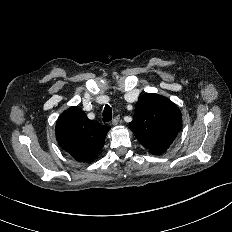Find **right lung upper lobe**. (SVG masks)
I'll return each mask as SVG.
<instances>
[{"instance_id": "1", "label": "right lung upper lobe", "mask_w": 232, "mask_h": 232, "mask_svg": "<svg viewBox=\"0 0 232 232\" xmlns=\"http://www.w3.org/2000/svg\"><path fill=\"white\" fill-rule=\"evenodd\" d=\"M110 127L89 120L78 107L64 111L56 122L58 144L79 162H92L101 151Z\"/></svg>"}]
</instances>
